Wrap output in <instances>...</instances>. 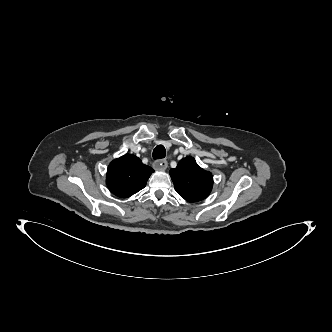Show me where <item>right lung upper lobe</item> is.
Returning <instances> with one entry per match:
<instances>
[{
    "instance_id": "right-lung-upper-lobe-1",
    "label": "right lung upper lobe",
    "mask_w": 332,
    "mask_h": 332,
    "mask_svg": "<svg viewBox=\"0 0 332 332\" xmlns=\"http://www.w3.org/2000/svg\"><path fill=\"white\" fill-rule=\"evenodd\" d=\"M153 169L132 154L113 160L107 170L109 190L120 198H127L146 186Z\"/></svg>"
}]
</instances>
